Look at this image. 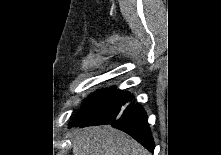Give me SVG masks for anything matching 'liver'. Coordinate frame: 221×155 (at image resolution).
<instances>
[{"mask_svg": "<svg viewBox=\"0 0 221 155\" xmlns=\"http://www.w3.org/2000/svg\"><path fill=\"white\" fill-rule=\"evenodd\" d=\"M72 146L73 155H148L133 138L111 126L76 130Z\"/></svg>", "mask_w": 221, "mask_h": 155, "instance_id": "1", "label": "liver"}]
</instances>
